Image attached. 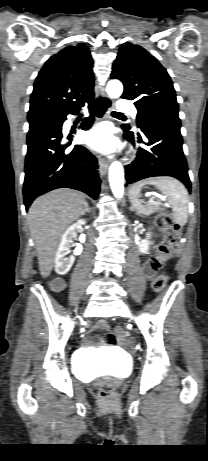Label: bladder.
<instances>
[{
    "label": "bladder",
    "mask_w": 208,
    "mask_h": 461,
    "mask_svg": "<svg viewBox=\"0 0 208 461\" xmlns=\"http://www.w3.org/2000/svg\"><path fill=\"white\" fill-rule=\"evenodd\" d=\"M129 361L115 357L111 360H98L94 361L93 358L87 353L82 352L79 354L75 368L80 374L94 373L100 374H111L116 377H125L129 373Z\"/></svg>",
    "instance_id": "bladder-1"
}]
</instances>
